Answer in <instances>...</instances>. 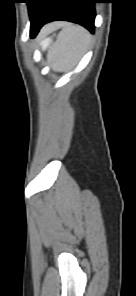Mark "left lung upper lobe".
Listing matches in <instances>:
<instances>
[{
    "instance_id": "5c2ea615",
    "label": "left lung upper lobe",
    "mask_w": 136,
    "mask_h": 296,
    "mask_svg": "<svg viewBox=\"0 0 136 296\" xmlns=\"http://www.w3.org/2000/svg\"><path fill=\"white\" fill-rule=\"evenodd\" d=\"M53 0H27L31 25L44 18Z\"/></svg>"
}]
</instances>
